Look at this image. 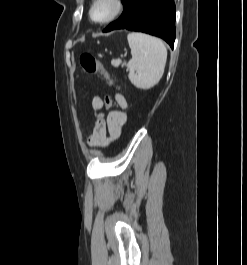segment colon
<instances>
[{
    "label": "colon",
    "mask_w": 247,
    "mask_h": 265,
    "mask_svg": "<svg viewBox=\"0 0 247 265\" xmlns=\"http://www.w3.org/2000/svg\"><path fill=\"white\" fill-rule=\"evenodd\" d=\"M80 65L84 72L88 74H100L103 75L105 78L108 79L111 85L114 84V80L109 75V73L105 70L103 65L97 61L92 55L90 54H82L80 56ZM112 98L109 95L104 97V106L106 109L111 108L112 106Z\"/></svg>",
    "instance_id": "colon-1"
}]
</instances>
